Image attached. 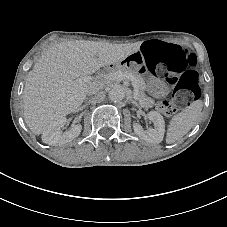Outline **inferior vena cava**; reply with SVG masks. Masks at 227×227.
Instances as JSON below:
<instances>
[{
	"label": "inferior vena cava",
	"mask_w": 227,
	"mask_h": 227,
	"mask_svg": "<svg viewBox=\"0 0 227 227\" xmlns=\"http://www.w3.org/2000/svg\"><path fill=\"white\" fill-rule=\"evenodd\" d=\"M98 88V84L96 82L90 84L88 86V88L86 89V94L89 95V96H93L92 98V102H99V101H102L104 99V95L105 93L104 92H99V90H97Z\"/></svg>",
	"instance_id": "inferior-vena-cava-1"
}]
</instances>
